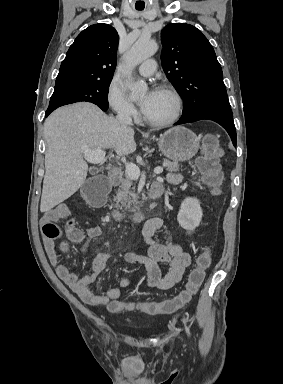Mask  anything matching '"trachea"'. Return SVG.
Segmentation results:
<instances>
[{"mask_svg":"<svg viewBox=\"0 0 283 384\" xmlns=\"http://www.w3.org/2000/svg\"><path fill=\"white\" fill-rule=\"evenodd\" d=\"M137 10H144L143 8H137Z\"/></svg>","mask_w":283,"mask_h":384,"instance_id":"obj_1","label":"trachea"}]
</instances>
